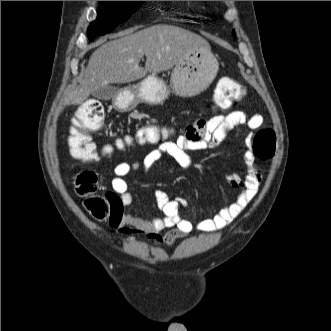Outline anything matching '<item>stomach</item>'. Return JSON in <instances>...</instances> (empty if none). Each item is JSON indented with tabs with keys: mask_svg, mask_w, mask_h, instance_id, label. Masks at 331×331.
Segmentation results:
<instances>
[{
	"mask_svg": "<svg viewBox=\"0 0 331 331\" xmlns=\"http://www.w3.org/2000/svg\"><path fill=\"white\" fill-rule=\"evenodd\" d=\"M219 64L209 45L197 47L187 53L173 68L170 85L154 75L147 76L136 88L121 91L115 108L130 111L139 102L151 105L164 103L170 93L192 97L207 89L218 72Z\"/></svg>",
	"mask_w": 331,
	"mask_h": 331,
	"instance_id": "1",
	"label": "stomach"
}]
</instances>
